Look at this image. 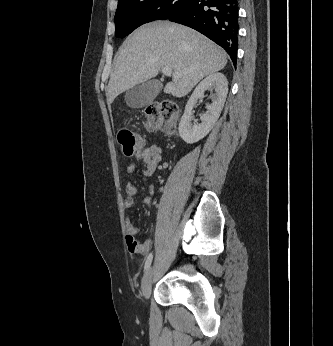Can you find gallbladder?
Here are the masks:
<instances>
[{"instance_id": "1", "label": "gallbladder", "mask_w": 333, "mask_h": 346, "mask_svg": "<svg viewBox=\"0 0 333 346\" xmlns=\"http://www.w3.org/2000/svg\"><path fill=\"white\" fill-rule=\"evenodd\" d=\"M162 87V83L157 80H149L136 85L126 91L125 102L130 108H143L157 97Z\"/></svg>"}]
</instances>
